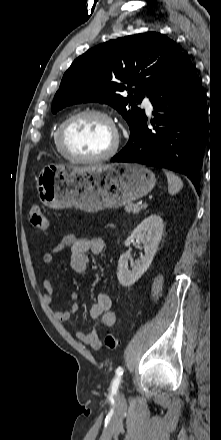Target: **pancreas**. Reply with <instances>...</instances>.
<instances>
[{
  "label": "pancreas",
  "instance_id": "1",
  "mask_svg": "<svg viewBox=\"0 0 221 440\" xmlns=\"http://www.w3.org/2000/svg\"><path fill=\"white\" fill-rule=\"evenodd\" d=\"M142 209H145L143 207V205H139V204H135V203H128L125 206V211L127 213H133V214H137L139 213Z\"/></svg>",
  "mask_w": 221,
  "mask_h": 440
}]
</instances>
